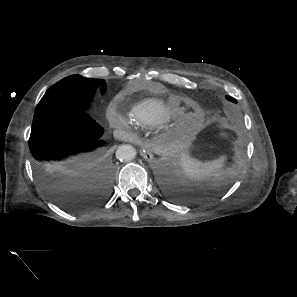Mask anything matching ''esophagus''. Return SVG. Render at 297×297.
Instances as JSON below:
<instances>
[{
  "mask_svg": "<svg viewBox=\"0 0 297 297\" xmlns=\"http://www.w3.org/2000/svg\"><path fill=\"white\" fill-rule=\"evenodd\" d=\"M140 154L147 161L153 160V153L148 149L147 146L143 150L140 151Z\"/></svg>",
  "mask_w": 297,
  "mask_h": 297,
  "instance_id": "esophagus-1",
  "label": "esophagus"
}]
</instances>
